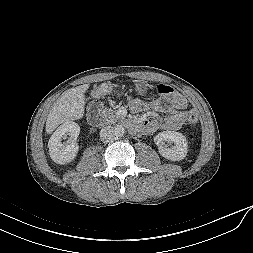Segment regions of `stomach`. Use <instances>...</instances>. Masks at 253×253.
Wrapping results in <instances>:
<instances>
[{"label":"stomach","instance_id":"1","mask_svg":"<svg viewBox=\"0 0 253 253\" xmlns=\"http://www.w3.org/2000/svg\"><path fill=\"white\" fill-rule=\"evenodd\" d=\"M149 85L145 82H137L135 84V90L138 94L143 95L148 91Z\"/></svg>","mask_w":253,"mask_h":253}]
</instances>
